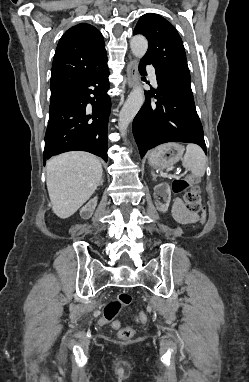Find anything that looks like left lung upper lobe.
<instances>
[{
    "instance_id": "5c2ea615",
    "label": "left lung upper lobe",
    "mask_w": 249,
    "mask_h": 382,
    "mask_svg": "<svg viewBox=\"0 0 249 382\" xmlns=\"http://www.w3.org/2000/svg\"><path fill=\"white\" fill-rule=\"evenodd\" d=\"M133 34L148 39L143 60L155 67L156 75L193 95L185 49L174 26L160 15L147 13L139 19Z\"/></svg>"
}]
</instances>
